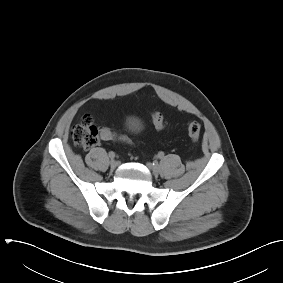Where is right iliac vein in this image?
<instances>
[{
    "label": "right iliac vein",
    "instance_id": "right-iliac-vein-1",
    "mask_svg": "<svg viewBox=\"0 0 283 283\" xmlns=\"http://www.w3.org/2000/svg\"><path fill=\"white\" fill-rule=\"evenodd\" d=\"M118 166V162L116 160L110 161V167L111 169H115Z\"/></svg>",
    "mask_w": 283,
    "mask_h": 283
}]
</instances>
